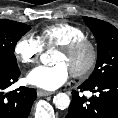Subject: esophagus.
<instances>
[{"mask_svg":"<svg viewBox=\"0 0 118 118\" xmlns=\"http://www.w3.org/2000/svg\"><path fill=\"white\" fill-rule=\"evenodd\" d=\"M53 92H49V91H44V90H37V95L40 97H45V96H50L52 95Z\"/></svg>","mask_w":118,"mask_h":118,"instance_id":"obj_1","label":"esophagus"}]
</instances>
